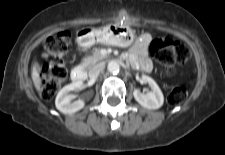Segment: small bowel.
I'll list each match as a JSON object with an SVG mask.
<instances>
[{
  "label": "small bowel",
  "mask_w": 225,
  "mask_h": 155,
  "mask_svg": "<svg viewBox=\"0 0 225 155\" xmlns=\"http://www.w3.org/2000/svg\"><path fill=\"white\" fill-rule=\"evenodd\" d=\"M148 39L142 38L137 41L130 51L126 54V58L130 63L145 72H150L153 68L152 62L147 55Z\"/></svg>",
  "instance_id": "c3829d8e"
}]
</instances>
